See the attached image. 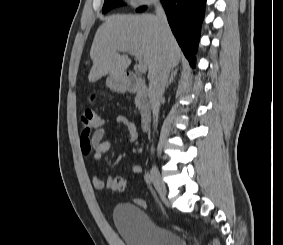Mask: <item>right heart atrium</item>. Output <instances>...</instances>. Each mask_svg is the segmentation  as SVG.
<instances>
[{"label":"right heart atrium","mask_w":283,"mask_h":245,"mask_svg":"<svg viewBox=\"0 0 283 245\" xmlns=\"http://www.w3.org/2000/svg\"><path fill=\"white\" fill-rule=\"evenodd\" d=\"M133 7H144L158 2V0H127Z\"/></svg>","instance_id":"d8ad5b80"}]
</instances>
